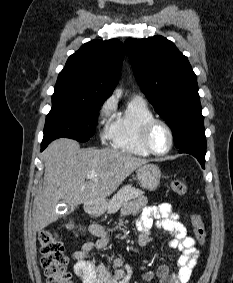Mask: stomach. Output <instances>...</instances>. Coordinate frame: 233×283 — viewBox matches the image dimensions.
<instances>
[{
  "label": "stomach",
  "instance_id": "0dacf381",
  "mask_svg": "<svg viewBox=\"0 0 233 283\" xmlns=\"http://www.w3.org/2000/svg\"><path fill=\"white\" fill-rule=\"evenodd\" d=\"M136 173L143 188L153 191L159 186L161 171L157 165L144 164L137 169Z\"/></svg>",
  "mask_w": 233,
  "mask_h": 283
}]
</instances>
